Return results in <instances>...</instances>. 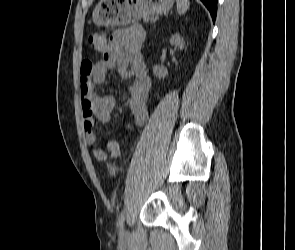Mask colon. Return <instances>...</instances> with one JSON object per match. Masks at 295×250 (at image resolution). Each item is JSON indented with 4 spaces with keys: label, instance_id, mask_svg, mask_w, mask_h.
Instances as JSON below:
<instances>
[{
    "label": "colon",
    "instance_id": "obj_1",
    "mask_svg": "<svg viewBox=\"0 0 295 250\" xmlns=\"http://www.w3.org/2000/svg\"><path fill=\"white\" fill-rule=\"evenodd\" d=\"M88 42L97 50L102 49L106 43L107 38L105 34L101 32H92L88 37ZM105 157H102L100 160H104Z\"/></svg>",
    "mask_w": 295,
    "mask_h": 250
}]
</instances>
